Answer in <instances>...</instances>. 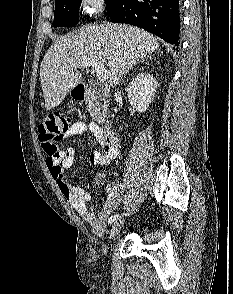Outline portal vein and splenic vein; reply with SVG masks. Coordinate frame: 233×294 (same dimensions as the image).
<instances>
[{
  "label": "portal vein and splenic vein",
  "instance_id": "1",
  "mask_svg": "<svg viewBox=\"0 0 233 294\" xmlns=\"http://www.w3.org/2000/svg\"><path fill=\"white\" fill-rule=\"evenodd\" d=\"M78 67L94 68L100 82L105 81L109 76V71L105 69L103 63L94 59H84L83 61L79 62Z\"/></svg>",
  "mask_w": 233,
  "mask_h": 294
}]
</instances>
